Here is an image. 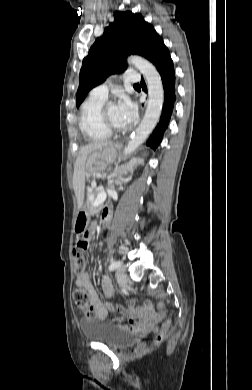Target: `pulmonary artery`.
Masks as SVG:
<instances>
[{"instance_id": "1", "label": "pulmonary artery", "mask_w": 252, "mask_h": 390, "mask_svg": "<svg viewBox=\"0 0 252 390\" xmlns=\"http://www.w3.org/2000/svg\"><path fill=\"white\" fill-rule=\"evenodd\" d=\"M124 77L128 82H138L140 80V75L132 70L125 71ZM90 95L93 97L106 99L108 96V85L106 83H102L94 87L91 90Z\"/></svg>"}]
</instances>
